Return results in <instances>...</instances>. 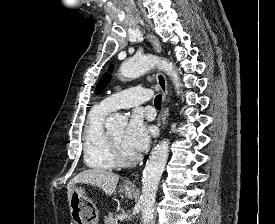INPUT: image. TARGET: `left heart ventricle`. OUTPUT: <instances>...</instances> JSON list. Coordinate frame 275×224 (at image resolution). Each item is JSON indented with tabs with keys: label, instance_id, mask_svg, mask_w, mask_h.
<instances>
[{
	"label": "left heart ventricle",
	"instance_id": "b2bd125f",
	"mask_svg": "<svg viewBox=\"0 0 275 224\" xmlns=\"http://www.w3.org/2000/svg\"><path fill=\"white\" fill-rule=\"evenodd\" d=\"M112 140L115 142L121 154L125 157L133 156L123 145L124 127H118L109 131Z\"/></svg>",
	"mask_w": 275,
	"mask_h": 224
}]
</instances>
